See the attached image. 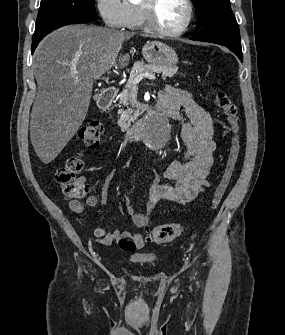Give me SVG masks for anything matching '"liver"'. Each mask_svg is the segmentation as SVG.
Returning <instances> with one entry per match:
<instances>
[{
	"label": "liver",
	"mask_w": 285,
	"mask_h": 335,
	"mask_svg": "<svg viewBox=\"0 0 285 335\" xmlns=\"http://www.w3.org/2000/svg\"><path fill=\"white\" fill-rule=\"evenodd\" d=\"M125 34L100 26H64L40 42L34 56L38 92L31 112L30 138L43 164H50L82 126L95 80L115 66ZM148 38V36H144ZM130 56L119 58L127 66Z\"/></svg>",
	"instance_id": "liver-1"
}]
</instances>
